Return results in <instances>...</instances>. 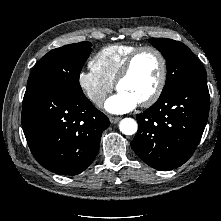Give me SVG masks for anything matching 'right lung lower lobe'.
<instances>
[{
  "instance_id": "98d812e1",
  "label": "right lung lower lobe",
  "mask_w": 221,
  "mask_h": 221,
  "mask_svg": "<svg viewBox=\"0 0 221 221\" xmlns=\"http://www.w3.org/2000/svg\"><path fill=\"white\" fill-rule=\"evenodd\" d=\"M110 122L83 93L27 86L22 127L40 165L60 175L83 172L95 159Z\"/></svg>"
}]
</instances>
